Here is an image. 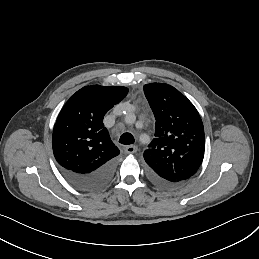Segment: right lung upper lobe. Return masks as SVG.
I'll use <instances>...</instances> for the list:
<instances>
[{
    "instance_id": "obj_1",
    "label": "right lung upper lobe",
    "mask_w": 259,
    "mask_h": 259,
    "mask_svg": "<svg viewBox=\"0 0 259 259\" xmlns=\"http://www.w3.org/2000/svg\"><path fill=\"white\" fill-rule=\"evenodd\" d=\"M128 93L121 86H85L64 105L55 123L52 147L59 165L90 173L119 155L104 127L103 117Z\"/></svg>"
}]
</instances>
